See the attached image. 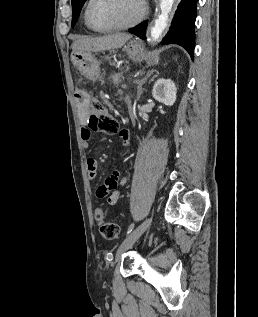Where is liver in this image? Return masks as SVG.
<instances>
[{"label":"liver","instance_id":"obj_1","mask_svg":"<svg viewBox=\"0 0 258 317\" xmlns=\"http://www.w3.org/2000/svg\"><path fill=\"white\" fill-rule=\"evenodd\" d=\"M131 36L132 34H126V32H115V34L95 36V38L80 36V38L74 40L72 52L74 50H93V52H99V50H109V48H120Z\"/></svg>","mask_w":258,"mask_h":317}]
</instances>
